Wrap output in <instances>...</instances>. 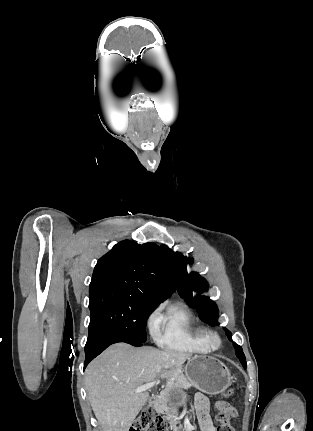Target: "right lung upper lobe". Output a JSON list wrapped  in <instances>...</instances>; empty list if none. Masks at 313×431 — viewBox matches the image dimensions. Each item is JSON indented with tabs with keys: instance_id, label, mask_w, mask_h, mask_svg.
<instances>
[{
	"instance_id": "1",
	"label": "right lung upper lobe",
	"mask_w": 313,
	"mask_h": 431,
	"mask_svg": "<svg viewBox=\"0 0 313 431\" xmlns=\"http://www.w3.org/2000/svg\"><path fill=\"white\" fill-rule=\"evenodd\" d=\"M122 291L163 302L175 291V283L162 250L155 243L124 240L101 257L94 269L89 297Z\"/></svg>"
}]
</instances>
